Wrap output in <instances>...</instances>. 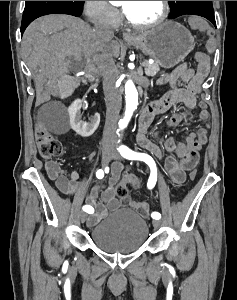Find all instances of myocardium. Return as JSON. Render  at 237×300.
Instances as JSON below:
<instances>
[{
    "label": "myocardium",
    "mask_w": 237,
    "mask_h": 300,
    "mask_svg": "<svg viewBox=\"0 0 237 300\" xmlns=\"http://www.w3.org/2000/svg\"><path fill=\"white\" fill-rule=\"evenodd\" d=\"M162 10L160 16L153 22L147 24H138L131 20L129 16L124 12V17L126 22L133 28L137 30H150L159 27L162 25L165 20L168 18L170 12L169 1H161Z\"/></svg>",
    "instance_id": "f54148a6"
}]
</instances>
